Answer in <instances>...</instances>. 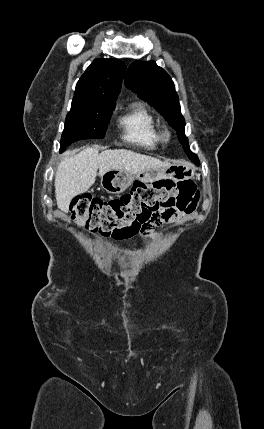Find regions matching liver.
Here are the masks:
<instances>
[{
	"label": "liver",
	"mask_w": 264,
	"mask_h": 429,
	"mask_svg": "<svg viewBox=\"0 0 264 429\" xmlns=\"http://www.w3.org/2000/svg\"><path fill=\"white\" fill-rule=\"evenodd\" d=\"M170 165L154 157L130 150L115 149L98 153L97 148L87 147L78 154L70 153L59 163L55 174V196L57 206L68 212L71 200L94 184L99 176L109 170H123L137 175L149 169H162Z\"/></svg>",
	"instance_id": "1"
}]
</instances>
